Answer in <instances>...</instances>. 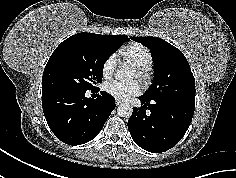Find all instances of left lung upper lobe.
<instances>
[{
    "instance_id": "1",
    "label": "left lung upper lobe",
    "mask_w": 236,
    "mask_h": 178,
    "mask_svg": "<svg viewBox=\"0 0 236 178\" xmlns=\"http://www.w3.org/2000/svg\"><path fill=\"white\" fill-rule=\"evenodd\" d=\"M131 39L147 47L154 60L153 85L142 97L195 105V79L183 53L158 37Z\"/></svg>"
}]
</instances>
